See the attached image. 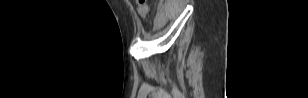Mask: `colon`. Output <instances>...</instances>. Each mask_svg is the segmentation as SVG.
Returning <instances> with one entry per match:
<instances>
[{"label": "colon", "instance_id": "1", "mask_svg": "<svg viewBox=\"0 0 308 98\" xmlns=\"http://www.w3.org/2000/svg\"><path fill=\"white\" fill-rule=\"evenodd\" d=\"M136 7L139 15L145 19L150 17V6L146 0H136Z\"/></svg>", "mask_w": 308, "mask_h": 98}]
</instances>
